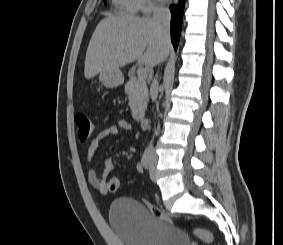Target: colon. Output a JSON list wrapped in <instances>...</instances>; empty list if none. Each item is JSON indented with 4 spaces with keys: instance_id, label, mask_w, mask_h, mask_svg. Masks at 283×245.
<instances>
[{
    "instance_id": "colon-1",
    "label": "colon",
    "mask_w": 283,
    "mask_h": 245,
    "mask_svg": "<svg viewBox=\"0 0 283 245\" xmlns=\"http://www.w3.org/2000/svg\"><path fill=\"white\" fill-rule=\"evenodd\" d=\"M76 125H77V135L80 142L84 143L89 140L91 137L94 126L87 114L80 113L75 117ZM119 188V180L117 178H111L107 182L108 192L113 193L116 192ZM151 213L166 222L173 223V221L156 205H153L150 202L145 203ZM192 232L195 236H197L200 240L205 243H212L214 240L213 234L203 228H193Z\"/></svg>"
}]
</instances>
